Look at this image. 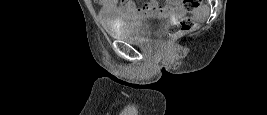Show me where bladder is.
I'll return each mask as SVG.
<instances>
[{
  "mask_svg": "<svg viewBox=\"0 0 267 115\" xmlns=\"http://www.w3.org/2000/svg\"><path fill=\"white\" fill-rule=\"evenodd\" d=\"M166 16L160 14L141 15L136 22L106 26L108 34L116 39L143 42L152 38L165 24Z\"/></svg>",
  "mask_w": 267,
  "mask_h": 115,
  "instance_id": "31cf9c89",
  "label": "bladder"
}]
</instances>
